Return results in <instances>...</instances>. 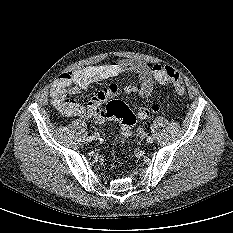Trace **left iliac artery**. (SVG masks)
I'll list each match as a JSON object with an SVG mask.
<instances>
[{
	"label": "left iliac artery",
	"instance_id": "1",
	"mask_svg": "<svg viewBox=\"0 0 233 233\" xmlns=\"http://www.w3.org/2000/svg\"><path fill=\"white\" fill-rule=\"evenodd\" d=\"M147 142H148V143H152V142H153V138H152L151 136H148Z\"/></svg>",
	"mask_w": 233,
	"mask_h": 233
}]
</instances>
